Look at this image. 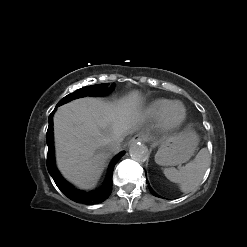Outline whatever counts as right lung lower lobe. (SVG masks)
<instances>
[{
    "mask_svg": "<svg viewBox=\"0 0 247 247\" xmlns=\"http://www.w3.org/2000/svg\"><path fill=\"white\" fill-rule=\"evenodd\" d=\"M60 106L58 103L56 107ZM54 111L49 116V126L46 134V141L48 145V155H47V169L52 176L55 184L57 187L71 200L77 203H84V204H95L101 203L106 200L112 191V173L115 164L117 161L124 155V152L119 153L110 163L108 176L104 182V184L97 190L92 192H83L77 190L68 182H66L63 177L58 172L55 166V159H54V146H53V116Z\"/></svg>",
    "mask_w": 247,
    "mask_h": 247,
    "instance_id": "98d812e1",
    "label": "right lung lower lobe"
}]
</instances>
